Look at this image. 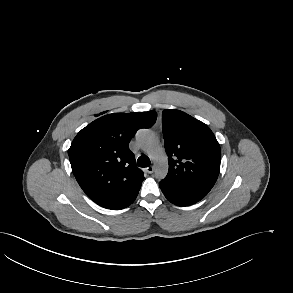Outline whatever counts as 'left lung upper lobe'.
Returning <instances> with one entry per match:
<instances>
[{
  "label": "left lung upper lobe",
  "instance_id": "left-lung-upper-lobe-1",
  "mask_svg": "<svg viewBox=\"0 0 293 293\" xmlns=\"http://www.w3.org/2000/svg\"><path fill=\"white\" fill-rule=\"evenodd\" d=\"M162 128L169 171L163 182L207 194L220 171L221 149L213 132L185 112H162Z\"/></svg>",
  "mask_w": 293,
  "mask_h": 293
}]
</instances>
